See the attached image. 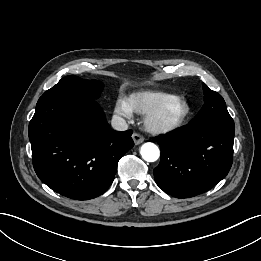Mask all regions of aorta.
Instances as JSON below:
<instances>
[{"mask_svg":"<svg viewBox=\"0 0 261 261\" xmlns=\"http://www.w3.org/2000/svg\"><path fill=\"white\" fill-rule=\"evenodd\" d=\"M140 153L142 158L147 162H155L160 156L159 148L151 142L143 144Z\"/></svg>","mask_w":261,"mask_h":261,"instance_id":"762f6f07","label":"aorta"}]
</instances>
